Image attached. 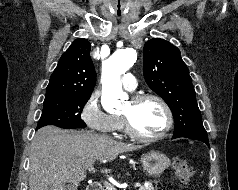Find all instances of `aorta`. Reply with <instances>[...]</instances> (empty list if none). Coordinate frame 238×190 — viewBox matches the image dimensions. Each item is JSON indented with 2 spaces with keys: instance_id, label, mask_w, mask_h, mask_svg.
I'll use <instances>...</instances> for the list:
<instances>
[{
  "instance_id": "1",
  "label": "aorta",
  "mask_w": 238,
  "mask_h": 190,
  "mask_svg": "<svg viewBox=\"0 0 238 190\" xmlns=\"http://www.w3.org/2000/svg\"><path fill=\"white\" fill-rule=\"evenodd\" d=\"M135 61V50L128 48L116 51L103 63L101 102L105 111L119 109L127 99V94L122 90L120 76L129 70Z\"/></svg>"
}]
</instances>
